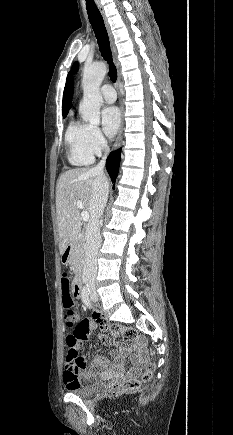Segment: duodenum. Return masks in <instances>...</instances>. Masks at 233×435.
<instances>
[{
    "instance_id": "1",
    "label": "duodenum",
    "mask_w": 233,
    "mask_h": 435,
    "mask_svg": "<svg viewBox=\"0 0 233 435\" xmlns=\"http://www.w3.org/2000/svg\"><path fill=\"white\" fill-rule=\"evenodd\" d=\"M74 249V242L67 243L62 251V258L61 261L64 264L68 263V258L71 252ZM73 288H74V296L77 298L81 297L82 293V273H78L74 282H73Z\"/></svg>"
}]
</instances>
